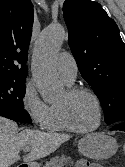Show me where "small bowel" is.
Instances as JSON below:
<instances>
[{"label":"small bowel","instance_id":"obj_1","mask_svg":"<svg viewBox=\"0 0 125 167\" xmlns=\"http://www.w3.org/2000/svg\"><path fill=\"white\" fill-rule=\"evenodd\" d=\"M74 167H102L96 163H89L86 160H80Z\"/></svg>","mask_w":125,"mask_h":167}]
</instances>
